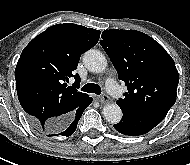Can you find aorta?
Segmentation results:
<instances>
[{"label":"aorta","mask_w":190,"mask_h":165,"mask_svg":"<svg viewBox=\"0 0 190 165\" xmlns=\"http://www.w3.org/2000/svg\"><path fill=\"white\" fill-rule=\"evenodd\" d=\"M83 62L93 73H101L107 67L106 57L98 50H88L83 57ZM103 116L107 122L117 124L122 119V111L117 104H107L103 108Z\"/></svg>","instance_id":"762f6f07"}]
</instances>
